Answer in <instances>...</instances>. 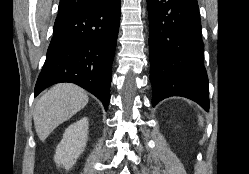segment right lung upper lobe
<instances>
[{
	"instance_id": "obj_1",
	"label": "right lung upper lobe",
	"mask_w": 249,
	"mask_h": 174,
	"mask_svg": "<svg viewBox=\"0 0 249 174\" xmlns=\"http://www.w3.org/2000/svg\"><path fill=\"white\" fill-rule=\"evenodd\" d=\"M115 0H60L57 19L68 17L81 10L97 7Z\"/></svg>"
}]
</instances>
